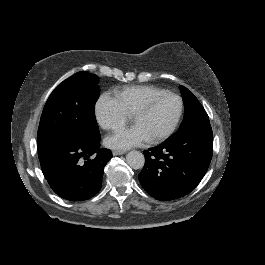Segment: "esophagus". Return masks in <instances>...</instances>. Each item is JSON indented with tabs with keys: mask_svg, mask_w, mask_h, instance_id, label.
Returning a JSON list of instances; mask_svg holds the SVG:
<instances>
[{
	"mask_svg": "<svg viewBox=\"0 0 265 265\" xmlns=\"http://www.w3.org/2000/svg\"><path fill=\"white\" fill-rule=\"evenodd\" d=\"M125 152H126L125 150L115 149V150H113V155L117 156V155L124 154Z\"/></svg>",
	"mask_w": 265,
	"mask_h": 265,
	"instance_id": "34e87169",
	"label": "esophagus"
}]
</instances>
